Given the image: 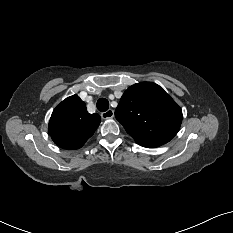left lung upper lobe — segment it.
Masks as SVG:
<instances>
[{
  "label": "left lung upper lobe",
  "mask_w": 233,
  "mask_h": 233,
  "mask_svg": "<svg viewBox=\"0 0 233 233\" xmlns=\"http://www.w3.org/2000/svg\"><path fill=\"white\" fill-rule=\"evenodd\" d=\"M115 117L137 144L158 147L177 134L182 110L159 85L142 82L125 91Z\"/></svg>",
  "instance_id": "1"
}]
</instances>
